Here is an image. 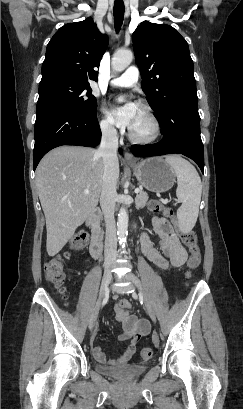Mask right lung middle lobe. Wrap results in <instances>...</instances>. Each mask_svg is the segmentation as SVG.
I'll list each match as a JSON object with an SVG mask.
<instances>
[{"instance_id":"obj_1","label":"right lung middle lobe","mask_w":243,"mask_h":409,"mask_svg":"<svg viewBox=\"0 0 243 409\" xmlns=\"http://www.w3.org/2000/svg\"><path fill=\"white\" fill-rule=\"evenodd\" d=\"M89 84L64 77L42 79L39 84L37 111L65 109L78 113L96 111V98Z\"/></svg>"}]
</instances>
